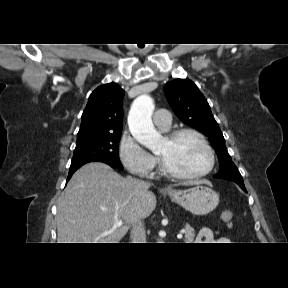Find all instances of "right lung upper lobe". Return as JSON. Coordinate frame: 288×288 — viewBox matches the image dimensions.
Instances as JSON below:
<instances>
[{
    "label": "right lung upper lobe",
    "mask_w": 288,
    "mask_h": 288,
    "mask_svg": "<svg viewBox=\"0 0 288 288\" xmlns=\"http://www.w3.org/2000/svg\"><path fill=\"white\" fill-rule=\"evenodd\" d=\"M124 90L115 83L96 88L83 111L77 141L122 131Z\"/></svg>",
    "instance_id": "right-lung-upper-lobe-1"
}]
</instances>
